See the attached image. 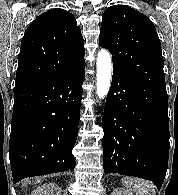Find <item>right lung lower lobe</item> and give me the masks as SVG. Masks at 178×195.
I'll list each match as a JSON object with an SVG mask.
<instances>
[{
	"label": "right lung lower lobe",
	"instance_id": "obj_1",
	"mask_svg": "<svg viewBox=\"0 0 178 195\" xmlns=\"http://www.w3.org/2000/svg\"><path fill=\"white\" fill-rule=\"evenodd\" d=\"M84 67L15 84L9 142L14 183L74 169Z\"/></svg>",
	"mask_w": 178,
	"mask_h": 195
}]
</instances>
